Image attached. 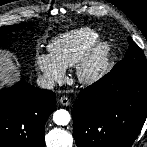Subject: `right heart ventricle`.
Listing matches in <instances>:
<instances>
[{
	"mask_svg": "<svg viewBox=\"0 0 147 147\" xmlns=\"http://www.w3.org/2000/svg\"><path fill=\"white\" fill-rule=\"evenodd\" d=\"M99 34L88 27L68 31L48 44L49 55L64 68L76 65Z\"/></svg>",
	"mask_w": 147,
	"mask_h": 147,
	"instance_id": "right-heart-ventricle-1",
	"label": "right heart ventricle"
}]
</instances>
